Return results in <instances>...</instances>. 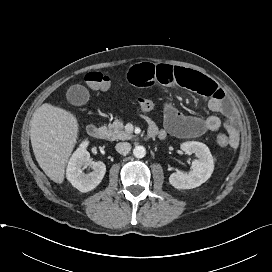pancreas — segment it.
<instances>
[{"label":"pancreas","mask_w":272,"mask_h":272,"mask_svg":"<svg viewBox=\"0 0 272 272\" xmlns=\"http://www.w3.org/2000/svg\"><path fill=\"white\" fill-rule=\"evenodd\" d=\"M107 137L109 140H129L133 135L124 129V125L121 119H115L112 124H108Z\"/></svg>","instance_id":"cf45deb5"}]
</instances>
